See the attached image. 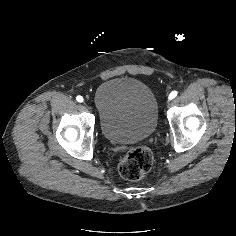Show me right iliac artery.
<instances>
[{
    "label": "right iliac artery",
    "mask_w": 236,
    "mask_h": 236,
    "mask_svg": "<svg viewBox=\"0 0 236 236\" xmlns=\"http://www.w3.org/2000/svg\"><path fill=\"white\" fill-rule=\"evenodd\" d=\"M76 100L81 103V102H83L84 99L82 96L79 95L76 97Z\"/></svg>",
    "instance_id": "obj_1"
}]
</instances>
